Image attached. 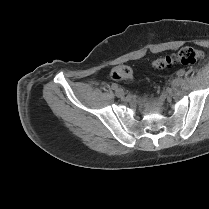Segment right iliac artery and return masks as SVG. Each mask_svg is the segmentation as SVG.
Returning <instances> with one entry per match:
<instances>
[{
	"label": "right iliac artery",
	"instance_id": "obj_1",
	"mask_svg": "<svg viewBox=\"0 0 209 209\" xmlns=\"http://www.w3.org/2000/svg\"><path fill=\"white\" fill-rule=\"evenodd\" d=\"M111 87L112 89L116 90L118 88V85L116 83H113Z\"/></svg>",
	"mask_w": 209,
	"mask_h": 209
}]
</instances>
